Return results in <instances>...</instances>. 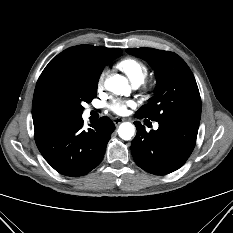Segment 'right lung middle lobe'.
Returning <instances> with one entry per match:
<instances>
[{
  "mask_svg": "<svg viewBox=\"0 0 233 233\" xmlns=\"http://www.w3.org/2000/svg\"><path fill=\"white\" fill-rule=\"evenodd\" d=\"M120 49H113L101 63L97 73L76 72L65 77L57 89V98L65 107L69 117H81L82 103H90L96 97L99 76L104 66L121 54Z\"/></svg>",
  "mask_w": 233,
  "mask_h": 233,
  "instance_id": "obj_1",
  "label": "right lung middle lobe"
}]
</instances>
